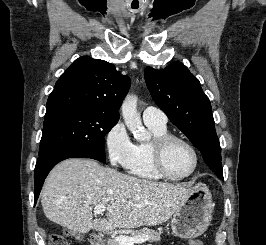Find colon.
I'll use <instances>...</instances> for the list:
<instances>
[{
	"instance_id": "colon-1",
	"label": "colon",
	"mask_w": 266,
	"mask_h": 245,
	"mask_svg": "<svg viewBox=\"0 0 266 245\" xmlns=\"http://www.w3.org/2000/svg\"><path fill=\"white\" fill-rule=\"evenodd\" d=\"M66 234V232H63L61 234L51 233L49 235L50 245H69V242L66 239ZM75 238L77 239V237ZM193 244L196 245V243Z\"/></svg>"
}]
</instances>
